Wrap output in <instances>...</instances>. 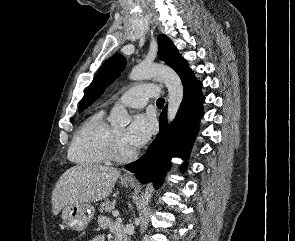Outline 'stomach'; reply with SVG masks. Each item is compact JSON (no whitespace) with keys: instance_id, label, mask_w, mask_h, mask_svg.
Masks as SVG:
<instances>
[{"instance_id":"0dacf381","label":"stomach","mask_w":295,"mask_h":241,"mask_svg":"<svg viewBox=\"0 0 295 241\" xmlns=\"http://www.w3.org/2000/svg\"><path fill=\"white\" fill-rule=\"evenodd\" d=\"M121 184L124 187H128L132 185V182L122 180ZM94 213L95 209L90 204L75 203L67 205L63 208L62 219L66 226L70 229L83 231L92 220Z\"/></svg>"}]
</instances>
